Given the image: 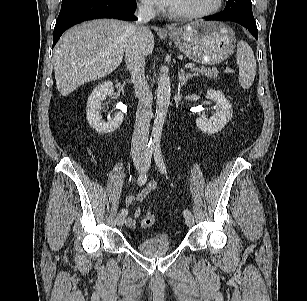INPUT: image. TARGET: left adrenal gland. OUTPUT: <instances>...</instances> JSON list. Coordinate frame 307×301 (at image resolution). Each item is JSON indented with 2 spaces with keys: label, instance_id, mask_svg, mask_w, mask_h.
<instances>
[{
  "label": "left adrenal gland",
  "instance_id": "1",
  "mask_svg": "<svg viewBox=\"0 0 307 301\" xmlns=\"http://www.w3.org/2000/svg\"><path fill=\"white\" fill-rule=\"evenodd\" d=\"M196 76V74H191V73H185L183 69H181V73L179 74V81H180V84L183 86L186 84V82L192 78Z\"/></svg>",
  "mask_w": 307,
  "mask_h": 301
}]
</instances>
